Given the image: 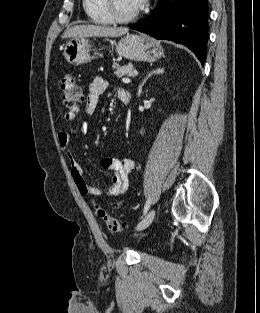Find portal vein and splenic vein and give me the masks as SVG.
<instances>
[{
	"label": "portal vein and splenic vein",
	"instance_id": "obj_1",
	"mask_svg": "<svg viewBox=\"0 0 260 313\" xmlns=\"http://www.w3.org/2000/svg\"><path fill=\"white\" fill-rule=\"evenodd\" d=\"M134 73H135V72H134ZM122 82L128 84V83L131 82V80H130L129 78H123V79H122Z\"/></svg>",
	"mask_w": 260,
	"mask_h": 313
}]
</instances>
